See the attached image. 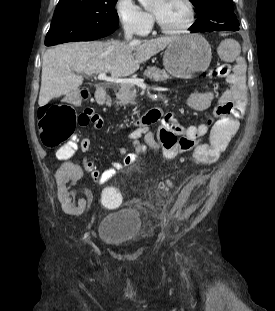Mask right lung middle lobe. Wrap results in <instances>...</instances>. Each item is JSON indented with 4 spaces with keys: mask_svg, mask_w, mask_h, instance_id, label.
<instances>
[{
    "mask_svg": "<svg viewBox=\"0 0 275 311\" xmlns=\"http://www.w3.org/2000/svg\"><path fill=\"white\" fill-rule=\"evenodd\" d=\"M117 0H59L45 45L94 40L118 26Z\"/></svg>",
    "mask_w": 275,
    "mask_h": 311,
    "instance_id": "dd1d6c3e",
    "label": "right lung middle lobe"
}]
</instances>
